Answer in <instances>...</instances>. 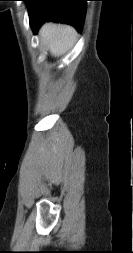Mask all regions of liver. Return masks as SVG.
Masks as SVG:
<instances>
[{"mask_svg": "<svg viewBox=\"0 0 133 253\" xmlns=\"http://www.w3.org/2000/svg\"><path fill=\"white\" fill-rule=\"evenodd\" d=\"M39 34L41 41L54 56L65 54L73 47L77 38V33L71 26L54 23L43 25Z\"/></svg>", "mask_w": 133, "mask_h": 253, "instance_id": "1", "label": "liver"}]
</instances>
